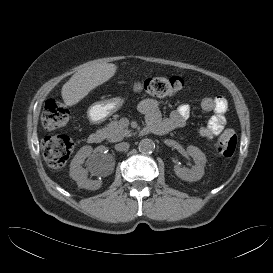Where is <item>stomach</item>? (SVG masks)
<instances>
[{
  "instance_id": "0dacf381",
  "label": "stomach",
  "mask_w": 273,
  "mask_h": 273,
  "mask_svg": "<svg viewBox=\"0 0 273 273\" xmlns=\"http://www.w3.org/2000/svg\"><path fill=\"white\" fill-rule=\"evenodd\" d=\"M123 104L124 100L120 97L105 99L92 104L88 108L87 116L91 122L99 123L118 111Z\"/></svg>"
}]
</instances>
